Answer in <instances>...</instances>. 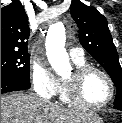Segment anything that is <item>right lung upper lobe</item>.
<instances>
[{
    "label": "right lung upper lobe",
    "instance_id": "1",
    "mask_svg": "<svg viewBox=\"0 0 122 123\" xmlns=\"http://www.w3.org/2000/svg\"><path fill=\"white\" fill-rule=\"evenodd\" d=\"M28 18L19 0L1 8V51L28 53Z\"/></svg>",
    "mask_w": 122,
    "mask_h": 123
}]
</instances>
